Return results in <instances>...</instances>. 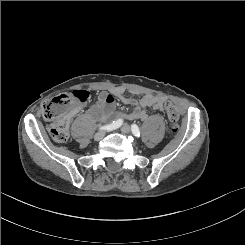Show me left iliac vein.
I'll return each mask as SVG.
<instances>
[{
  "instance_id": "4c4485c4",
  "label": "left iliac vein",
  "mask_w": 245,
  "mask_h": 245,
  "mask_svg": "<svg viewBox=\"0 0 245 245\" xmlns=\"http://www.w3.org/2000/svg\"><path fill=\"white\" fill-rule=\"evenodd\" d=\"M121 131H122L123 133H130V132H131V127H130L129 125L125 124V125H123V126L121 127Z\"/></svg>"
}]
</instances>
